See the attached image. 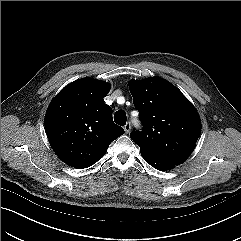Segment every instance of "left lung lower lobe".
Returning a JSON list of instances; mask_svg holds the SVG:
<instances>
[{
	"label": "left lung lower lobe",
	"mask_w": 241,
	"mask_h": 241,
	"mask_svg": "<svg viewBox=\"0 0 241 241\" xmlns=\"http://www.w3.org/2000/svg\"><path fill=\"white\" fill-rule=\"evenodd\" d=\"M141 155L152 167L158 170H169L175 167V165H172L170 163L159 161L158 159L149 157L144 154H141Z\"/></svg>",
	"instance_id": "left-lung-lower-lobe-1"
}]
</instances>
